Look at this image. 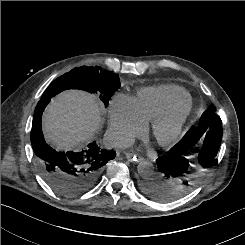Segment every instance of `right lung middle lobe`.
I'll return each mask as SVG.
<instances>
[{
	"label": "right lung middle lobe",
	"mask_w": 245,
	"mask_h": 245,
	"mask_svg": "<svg viewBox=\"0 0 245 245\" xmlns=\"http://www.w3.org/2000/svg\"><path fill=\"white\" fill-rule=\"evenodd\" d=\"M120 86L119 76L113 72L93 67H79L54 80L41 99L51 98L66 89H81L100 94V99L107 106L109 99Z\"/></svg>",
	"instance_id": "dd1d6c3e"
}]
</instances>
